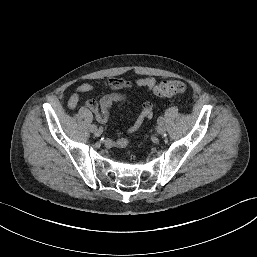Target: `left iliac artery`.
I'll return each instance as SVG.
<instances>
[{"instance_id": "obj_1", "label": "left iliac artery", "mask_w": 257, "mask_h": 257, "mask_svg": "<svg viewBox=\"0 0 257 257\" xmlns=\"http://www.w3.org/2000/svg\"><path fill=\"white\" fill-rule=\"evenodd\" d=\"M157 122L158 124H162L164 122V118L162 116H160L158 119H157Z\"/></svg>"}]
</instances>
